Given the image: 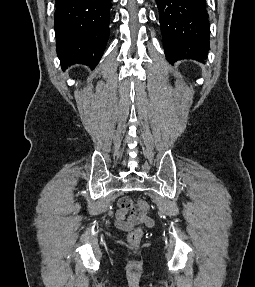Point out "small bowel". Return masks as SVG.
I'll return each mask as SVG.
<instances>
[{
  "mask_svg": "<svg viewBox=\"0 0 255 287\" xmlns=\"http://www.w3.org/2000/svg\"><path fill=\"white\" fill-rule=\"evenodd\" d=\"M117 206L114 224L119 230L132 231L139 224H144L149 228L154 225V220L136 208L129 197H121L117 202Z\"/></svg>",
  "mask_w": 255,
  "mask_h": 287,
  "instance_id": "c3829d8e",
  "label": "small bowel"
}]
</instances>
